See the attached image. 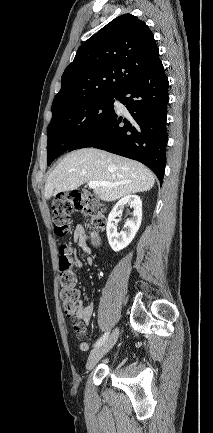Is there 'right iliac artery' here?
<instances>
[{
	"mask_svg": "<svg viewBox=\"0 0 213 433\" xmlns=\"http://www.w3.org/2000/svg\"><path fill=\"white\" fill-rule=\"evenodd\" d=\"M108 335H109V332H106L102 337H100V339H98L96 341V343L94 344V347H98V346L102 345L105 342V340L108 338Z\"/></svg>",
	"mask_w": 213,
	"mask_h": 433,
	"instance_id": "right-iliac-artery-1",
	"label": "right iliac artery"
}]
</instances>
